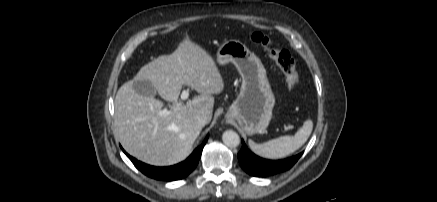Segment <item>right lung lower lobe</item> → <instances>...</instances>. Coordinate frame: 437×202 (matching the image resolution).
Masks as SVG:
<instances>
[{"instance_id":"right-lung-lower-lobe-1","label":"right lung lower lobe","mask_w":437,"mask_h":202,"mask_svg":"<svg viewBox=\"0 0 437 202\" xmlns=\"http://www.w3.org/2000/svg\"><path fill=\"white\" fill-rule=\"evenodd\" d=\"M207 138L208 137L205 138L203 143L198 146L185 161L169 167H155L147 165L136 160L127 154L123 149L122 150L127 157L130 158L135 167L146 176L156 180L173 181L185 178L196 168Z\"/></svg>"}]
</instances>
